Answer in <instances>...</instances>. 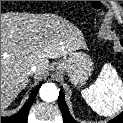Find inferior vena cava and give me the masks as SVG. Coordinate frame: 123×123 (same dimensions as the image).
<instances>
[{"instance_id": "602c4592", "label": "inferior vena cava", "mask_w": 123, "mask_h": 123, "mask_svg": "<svg viewBox=\"0 0 123 123\" xmlns=\"http://www.w3.org/2000/svg\"><path fill=\"white\" fill-rule=\"evenodd\" d=\"M37 67L36 66H32L29 71H28V74L31 75L33 74L35 71H36Z\"/></svg>"}]
</instances>
